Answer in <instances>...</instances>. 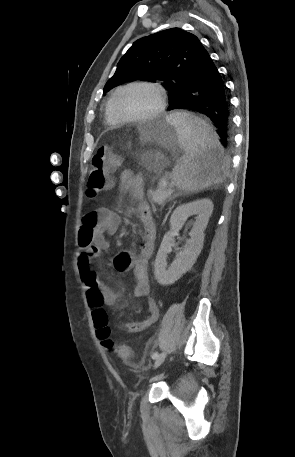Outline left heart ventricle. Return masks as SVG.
<instances>
[{
    "label": "left heart ventricle",
    "instance_id": "1",
    "mask_svg": "<svg viewBox=\"0 0 295 457\" xmlns=\"http://www.w3.org/2000/svg\"><path fill=\"white\" fill-rule=\"evenodd\" d=\"M158 104L155 91L145 86L122 90L115 100V111L122 117H140L152 112Z\"/></svg>",
    "mask_w": 295,
    "mask_h": 457
}]
</instances>
